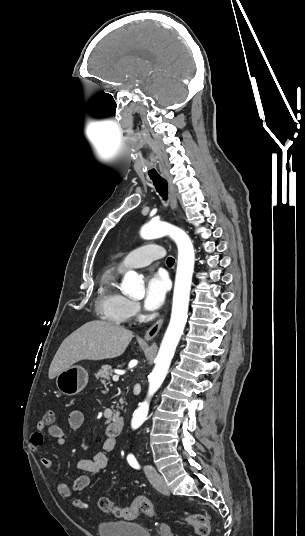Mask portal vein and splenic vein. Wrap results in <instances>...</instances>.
Here are the masks:
<instances>
[{
    "instance_id": "1",
    "label": "portal vein and splenic vein",
    "mask_w": 305,
    "mask_h": 536,
    "mask_svg": "<svg viewBox=\"0 0 305 536\" xmlns=\"http://www.w3.org/2000/svg\"><path fill=\"white\" fill-rule=\"evenodd\" d=\"M115 374H123V372H115ZM119 376H113V382H118Z\"/></svg>"
}]
</instances>
